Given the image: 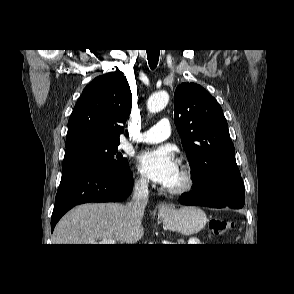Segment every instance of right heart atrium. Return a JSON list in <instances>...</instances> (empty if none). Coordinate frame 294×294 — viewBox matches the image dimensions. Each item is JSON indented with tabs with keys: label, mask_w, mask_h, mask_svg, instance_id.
Wrapping results in <instances>:
<instances>
[{
	"label": "right heart atrium",
	"mask_w": 294,
	"mask_h": 294,
	"mask_svg": "<svg viewBox=\"0 0 294 294\" xmlns=\"http://www.w3.org/2000/svg\"><path fill=\"white\" fill-rule=\"evenodd\" d=\"M135 186L138 188V189H141V190H144L147 188L148 186V181L145 177L139 175L137 176V178L135 179Z\"/></svg>",
	"instance_id": "1"
}]
</instances>
